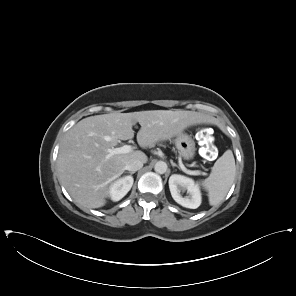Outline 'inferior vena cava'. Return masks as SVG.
I'll return each instance as SVG.
<instances>
[{"label": "inferior vena cava", "instance_id": "1", "mask_svg": "<svg viewBox=\"0 0 296 296\" xmlns=\"http://www.w3.org/2000/svg\"><path fill=\"white\" fill-rule=\"evenodd\" d=\"M143 167V162L139 159L132 158L130 159L125 166V169L128 171H137Z\"/></svg>", "mask_w": 296, "mask_h": 296}]
</instances>
